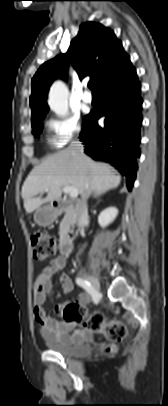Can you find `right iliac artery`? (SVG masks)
Instances as JSON below:
<instances>
[{
	"mask_svg": "<svg viewBox=\"0 0 168 406\" xmlns=\"http://www.w3.org/2000/svg\"><path fill=\"white\" fill-rule=\"evenodd\" d=\"M76 284L78 286L82 287L83 289H85L93 297L94 301L96 300V291L93 289V287L91 286V284L88 281H86L80 277H77Z\"/></svg>",
	"mask_w": 168,
	"mask_h": 406,
	"instance_id": "82829eb1",
	"label": "right iliac artery"
}]
</instances>
